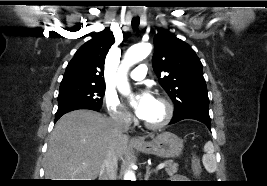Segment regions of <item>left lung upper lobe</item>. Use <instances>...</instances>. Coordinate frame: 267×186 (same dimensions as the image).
I'll return each mask as SVG.
<instances>
[{
  "label": "left lung upper lobe",
  "instance_id": "left-lung-upper-lobe-1",
  "mask_svg": "<svg viewBox=\"0 0 267 186\" xmlns=\"http://www.w3.org/2000/svg\"><path fill=\"white\" fill-rule=\"evenodd\" d=\"M153 69L175 105L174 114L208 113L209 98L202 63L194 50L168 30L154 37Z\"/></svg>",
  "mask_w": 267,
  "mask_h": 186
}]
</instances>
